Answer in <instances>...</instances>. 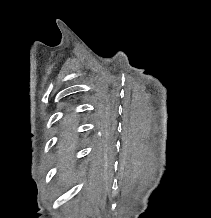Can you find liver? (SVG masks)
I'll return each mask as SVG.
<instances>
[{
	"label": "liver",
	"instance_id": "liver-1",
	"mask_svg": "<svg viewBox=\"0 0 211 218\" xmlns=\"http://www.w3.org/2000/svg\"><path fill=\"white\" fill-rule=\"evenodd\" d=\"M68 138H70V136H68ZM71 180H72V178H71L70 172H69V174H66V176H63V178H61V182H62L64 188H66V186H69Z\"/></svg>",
	"mask_w": 211,
	"mask_h": 218
}]
</instances>
